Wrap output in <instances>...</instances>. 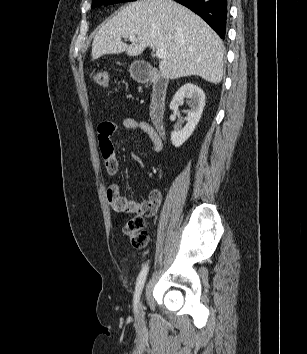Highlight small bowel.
Returning a JSON list of instances; mask_svg holds the SVG:
<instances>
[{"mask_svg":"<svg viewBox=\"0 0 307 354\" xmlns=\"http://www.w3.org/2000/svg\"><path fill=\"white\" fill-rule=\"evenodd\" d=\"M122 125L125 129L139 130L145 133L151 140L155 153H159L163 149V137L150 123L146 121H139L134 118H125L122 121ZM117 128V124L113 121H103L98 127L100 150L104 159L106 170L110 175H115L119 169V162L111 141V137ZM101 142H105L106 145L102 146ZM106 195L110 205L114 209L118 206L128 213H140L146 216L154 215L161 203V193L156 189H153L149 193L147 200L141 203H136L123 197L121 195L120 186L116 183L111 184L108 187Z\"/></svg>","mask_w":307,"mask_h":354,"instance_id":"small-bowel-1","label":"small bowel"}]
</instances>
